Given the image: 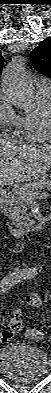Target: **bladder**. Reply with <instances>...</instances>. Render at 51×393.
Instances as JSON below:
<instances>
[{
  "label": "bladder",
  "instance_id": "bladder-1",
  "mask_svg": "<svg viewBox=\"0 0 51 393\" xmlns=\"http://www.w3.org/2000/svg\"><path fill=\"white\" fill-rule=\"evenodd\" d=\"M0 369L8 380L32 383L50 374L51 361L40 349L9 345L1 352Z\"/></svg>",
  "mask_w": 51,
  "mask_h": 393
}]
</instances>
